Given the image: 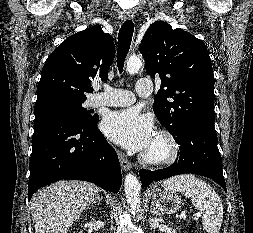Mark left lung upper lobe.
Here are the masks:
<instances>
[{"label": "left lung upper lobe", "mask_w": 253, "mask_h": 233, "mask_svg": "<svg viewBox=\"0 0 253 233\" xmlns=\"http://www.w3.org/2000/svg\"><path fill=\"white\" fill-rule=\"evenodd\" d=\"M147 73L160 76L153 110L175 139L198 120L214 122V75L203 43L182 29L154 22L140 47Z\"/></svg>", "instance_id": "left-lung-upper-lobe-1"}]
</instances>
